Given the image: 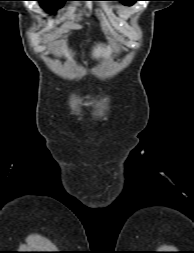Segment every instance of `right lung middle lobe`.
Here are the masks:
<instances>
[{
  "label": "right lung middle lobe",
  "mask_w": 194,
  "mask_h": 253,
  "mask_svg": "<svg viewBox=\"0 0 194 253\" xmlns=\"http://www.w3.org/2000/svg\"><path fill=\"white\" fill-rule=\"evenodd\" d=\"M35 1H39L41 7L44 8L45 10L52 11L61 8L64 5V2L69 0H35Z\"/></svg>",
  "instance_id": "obj_1"
}]
</instances>
